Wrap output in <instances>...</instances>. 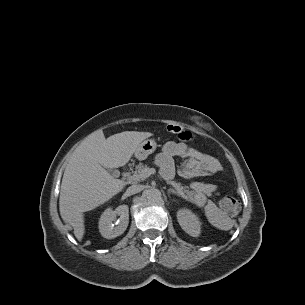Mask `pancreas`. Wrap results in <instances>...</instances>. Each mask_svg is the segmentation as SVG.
<instances>
[{"instance_id": "obj_1", "label": "pancreas", "mask_w": 305, "mask_h": 305, "mask_svg": "<svg viewBox=\"0 0 305 305\" xmlns=\"http://www.w3.org/2000/svg\"><path fill=\"white\" fill-rule=\"evenodd\" d=\"M145 168H148L143 163H139L135 167V171L132 172L130 176V180L133 183L140 182L142 179L138 178V175L143 171ZM171 184L176 188L177 192L182 195L183 198L196 204L197 206H204L207 202V198L205 193L209 191V186L203 183L194 182L191 184L192 190H189L188 186H182L181 183H174Z\"/></svg>"}]
</instances>
